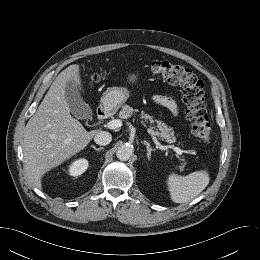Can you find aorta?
Segmentation results:
<instances>
[{"instance_id":"762f6f07","label":"aorta","mask_w":260,"mask_h":260,"mask_svg":"<svg viewBox=\"0 0 260 260\" xmlns=\"http://www.w3.org/2000/svg\"><path fill=\"white\" fill-rule=\"evenodd\" d=\"M133 154V148L130 145H121L117 152L116 156L121 161H127Z\"/></svg>"}]
</instances>
